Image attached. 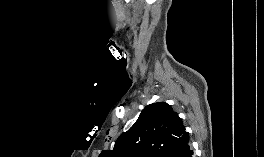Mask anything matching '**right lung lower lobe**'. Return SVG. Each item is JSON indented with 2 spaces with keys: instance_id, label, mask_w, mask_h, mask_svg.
<instances>
[{
  "instance_id": "obj_1",
  "label": "right lung lower lobe",
  "mask_w": 264,
  "mask_h": 157,
  "mask_svg": "<svg viewBox=\"0 0 264 157\" xmlns=\"http://www.w3.org/2000/svg\"><path fill=\"white\" fill-rule=\"evenodd\" d=\"M174 157H194L193 150L191 149L189 143L186 144L181 150H179Z\"/></svg>"
}]
</instances>
